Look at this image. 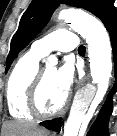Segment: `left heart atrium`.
I'll list each match as a JSON object with an SVG mask.
<instances>
[{
  "label": "left heart atrium",
  "instance_id": "obj_1",
  "mask_svg": "<svg viewBox=\"0 0 117 136\" xmlns=\"http://www.w3.org/2000/svg\"><path fill=\"white\" fill-rule=\"evenodd\" d=\"M75 79L74 66L70 61H65L56 70V83L58 87L67 95Z\"/></svg>",
  "mask_w": 117,
  "mask_h": 136
}]
</instances>
